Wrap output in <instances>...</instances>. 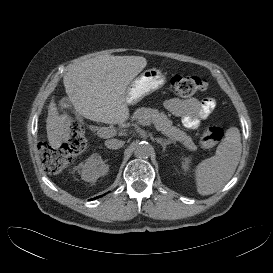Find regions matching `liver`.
Returning a JSON list of instances; mask_svg holds the SVG:
<instances>
[{
    "label": "liver",
    "mask_w": 273,
    "mask_h": 273,
    "mask_svg": "<svg viewBox=\"0 0 273 273\" xmlns=\"http://www.w3.org/2000/svg\"><path fill=\"white\" fill-rule=\"evenodd\" d=\"M146 65L142 56H98L73 65L63 83L79 114L96 122L122 124L129 118L126 89ZM71 121L67 114H59L52 98L46 119L52 148L58 149L70 139Z\"/></svg>",
    "instance_id": "liver-1"
}]
</instances>
